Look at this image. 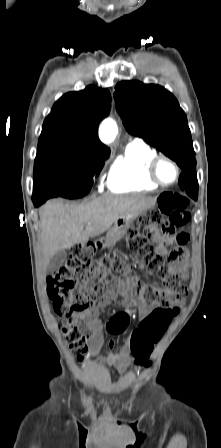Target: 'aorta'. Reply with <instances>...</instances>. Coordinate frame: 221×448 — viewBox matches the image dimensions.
<instances>
[{"label": "aorta", "mask_w": 221, "mask_h": 448, "mask_svg": "<svg viewBox=\"0 0 221 448\" xmlns=\"http://www.w3.org/2000/svg\"><path fill=\"white\" fill-rule=\"evenodd\" d=\"M118 133V127L116 122L107 118L102 121L99 127V138L103 143H111L115 140Z\"/></svg>", "instance_id": "1"}]
</instances>
